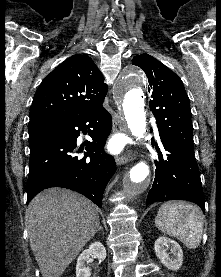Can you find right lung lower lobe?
Segmentation results:
<instances>
[{
    "label": "right lung lower lobe",
    "mask_w": 221,
    "mask_h": 277,
    "mask_svg": "<svg viewBox=\"0 0 221 277\" xmlns=\"http://www.w3.org/2000/svg\"><path fill=\"white\" fill-rule=\"evenodd\" d=\"M47 135L30 146L27 204L40 191L63 187L79 192L102 207L107 183L116 171V163L103 146L112 127L111 115L100 106L75 116H60L40 120ZM90 128H93L92 130ZM89 129L93 142L77 150V137Z\"/></svg>",
    "instance_id": "obj_1"
}]
</instances>
